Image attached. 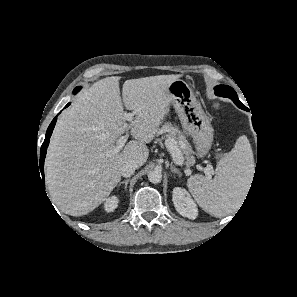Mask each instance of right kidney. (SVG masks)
Masks as SVG:
<instances>
[{"instance_id":"right-kidney-1","label":"right kidney","mask_w":297,"mask_h":297,"mask_svg":"<svg viewBox=\"0 0 297 297\" xmlns=\"http://www.w3.org/2000/svg\"><path fill=\"white\" fill-rule=\"evenodd\" d=\"M119 204V197L117 195H113L107 198L104 202V210L106 212H113Z\"/></svg>"}]
</instances>
